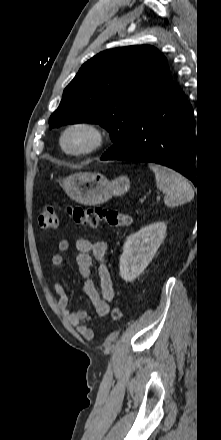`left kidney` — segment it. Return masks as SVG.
Wrapping results in <instances>:
<instances>
[{
	"mask_svg": "<svg viewBox=\"0 0 221 440\" xmlns=\"http://www.w3.org/2000/svg\"><path fill=\"white\" fill-rule=\"evenodd\" d=\"M166 228L164 222H156L127 237L120 257V275L125 281H133L146 269L165 237Z\"/></svg>",
	"mask_w": 221,
	"mask_h": 440,
	"instance_id": "obj_1",
	"label": "left kidney"
}]
</instances>
